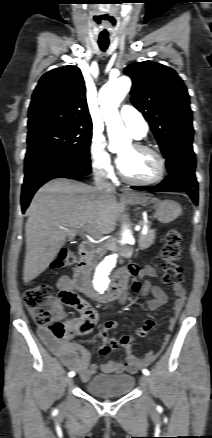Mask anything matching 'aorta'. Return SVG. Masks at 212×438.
Instances as JSON below:
<instances>
[{
  "mask_svg": "<svg viewBox=\"0 0 212 438\" xmlns=\"http://www.w3.org/2000/svg\"><path fill=\"white\" fill-rule=\"evenodd\" d=\"M131 81L126 76H120L117 79L106 83L99 92V104L110 139V149L115 148L117 139L126 134V129L120 118L118 106L129 92ZM133 240L131 230L127 225L123 226L121 244H128ZM118 259L117 254L107 256L92 272L91 284L96 292L103 296L109 288L110 274L116 266Z\"/></svg>",
  "mask_w": 212,
  "mask_h": 438,
  "instance_id": "aorta-1",
  "label": "aorta"
}]
</instances>
